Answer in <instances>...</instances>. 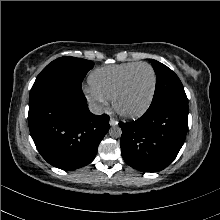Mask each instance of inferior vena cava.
<instances>
[{"label": "inferior vena cava", "instance_id": "obj_1", "mask_svg": "<svg viewBox=\"0 0 220 220\" xmlns=\"http://www.w3.org/2000/svg\"><path fill=\"white\" fill-rule=\"evenodd\" d=\"M89 110L94 115H101L103 113V106L97 102H91L88 105Z\"/></svg>", "mask_w": 220, "mask_h": 220}]
</instances>
